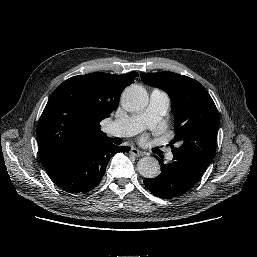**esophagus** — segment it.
Wrapping results in <instances>:
<instances>
[{"label": "esophagus", "mask_w": 257, "mask_h": 257, "mask_svg": "<svg viewBox=\"0 0 257 257\" xmlns=\"http://www.w3.org/2000/svg\"><path fill=\"white\" fill-rule=\"evenodd\" d=\"M130 154L136 156V157H141L144 155V153L140 150H138L137 148H131L130 149Z\"/></svg>", "instance_id": "esophagus-1"}]
</instances>
